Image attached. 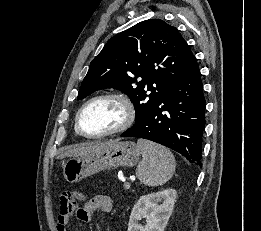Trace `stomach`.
<instances>
[{"label":"stomach","mask_w":261,"mask_h":231,"mask_svg":"<svg viewBox=\"0 0 261 231\" xmlns=\"http://www.w3.org/2000/svg\"><path fill=\"white\" fill-rule=\"evenodd\" d=\"M140 158V149L132 141L116 140L96 153L68 159L63 165V175L73 184L102 170L115 167H134Z\"/></svg>","instance_id":"obj_1"}]
</instances>
